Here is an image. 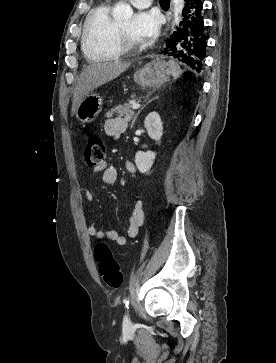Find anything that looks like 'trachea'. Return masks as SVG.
<instances>
[{
    "label": "trachea",
    "instance_id": "1",
    "mask_svg": "<svg viewBox=\"0 0 276 363\" xmlns=\"http://www.w3.org/2000/svg\"><path fill=\"white\" fill-rule=\"evenodd\" d=\"M159 2H160V5L163 6V5H168L170 0H159Z\"/></svg>",
    "mask_w": 276,
    "mask_h": 363
}]
</instances>
